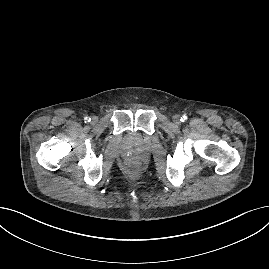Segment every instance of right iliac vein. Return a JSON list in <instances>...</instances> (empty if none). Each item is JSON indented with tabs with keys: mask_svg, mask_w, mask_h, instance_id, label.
Here are the masks:
<instances>
[{
	"mask_svg": "<svg viewBox=\"0 0 269 269\" xmlns=\"http://www.w3.org/2000/svg\"><path fill=\"white\" fill-rule=\"evenodd\" d=\"M97 121H98V118H97L96 116H93V117L91 118V123H92V124L97 123Z\"/></svg>",
	"mask_w": 269,
	"mask_h": 269,
	"instance_id": "63e3f726",
	"label": "right iliac vein"
}]
</instances>
